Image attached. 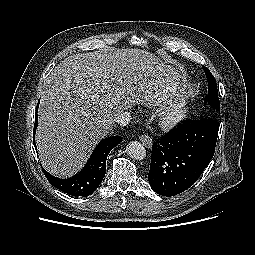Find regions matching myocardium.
Returning a JSON list of instances; mask_svg holds the SVG:
<instances>
[{"mask_svg":"<svg viewBox=\"0 0 255 255\" xmlns=\"http://www.w3.org/2000/svg\"><path fill=\"white\" fill-rule=\"evenodd\" d=\"M188 114L185 103H176L166 107L159 116V124L164 129H171L180 124Z\"/></svg>","mask_w":255,"mask_h":255,"instance_id":"myocardium-1","label":"myocardium"}]
</instances>
